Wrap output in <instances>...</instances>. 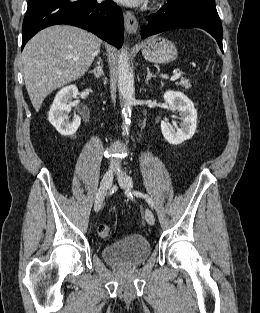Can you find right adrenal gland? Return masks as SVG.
<instances>
[{
	"instance_id": "2a0ac1e0",
	"label": "right adrenal gland",
	"mask_w": 260,
	"mask_h": 313,
	"mask_svg": "<svg viewBox=\"0 0 260 313\" xmlns=\"http://www.w3.org/2000/svg\"><path fill=\"white\" fill-rule=\"evenodd\" d=\"M89 73H93L95 78H100L104 75L103 73V65H102V61L100 58H98V61H97V67L94 68L93 70L89 71Z\"/></svg>"
}]
</instances>
